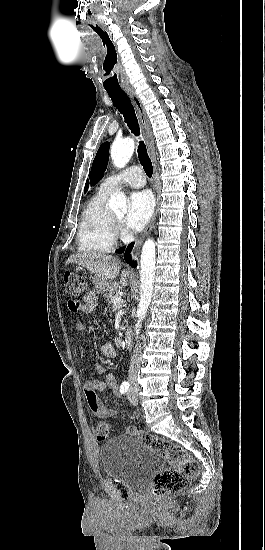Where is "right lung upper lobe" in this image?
Listing matches in <instances>:
<instances>
[{"label": "right lung upper lobe", "mask_w": 265, "mask_h": 550, "mask_svg": "<svg viewBox=\"0 0 265 550\" xmlns=\"http://www.w3.org/2000/svg\"><path fill=\"white\" fill-rule=\"evenodd\" d=\"M87 188H88V181H87L86 186H85V192L87 191Z\"/></svg>", "instance_id": "cb5924a9"}]
</instances>
